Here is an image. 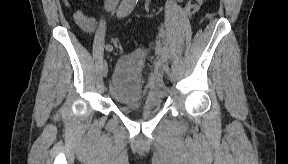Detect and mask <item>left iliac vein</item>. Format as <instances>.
<instances>
[{
  "label": "left iliac vein",
  "instance_id": "left-iliac-vein-1",
  "mask_svg": "<svg viewBox=\"0 0 288 164\" xmlns=\"http://www.w3.org/2000/svg\"><path fill=\"white\" fill-rule=\"evenodd\" d=\"M161 68H162V71H166L167 70V64H166L165 60L162 61Z\"/></svg>",
  "mask_w": 288,
  "mask_h": 164
}]
</instances>
